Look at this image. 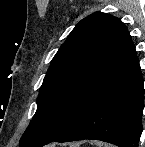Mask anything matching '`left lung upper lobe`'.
<instances>
[{
  "label": "left lung upper lobe",
  "instance_id": "left-lung-upper-lobe-1",
  "mask_svg": "<svg viewBox=\"0 0 145 147\" xmlns=\"http://www.w3.org/2000/svg\"><path fill=\"white\" fill-rule=\"evenodd\" d=\"M122 29L118 18L102 12L75 26L51 61L20 147H42L69 127Z\"/></svg>",
  "mask_w": 145,
  "mask_h": 147
}]
</instances>
